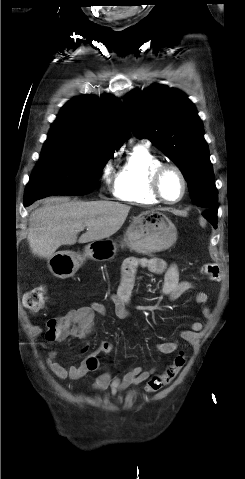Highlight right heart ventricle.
Here are the masks:
<instances>
[{
    "label": "right heart ventricle",
    "instance_id": "obj_1",
    "mask_svg": "<svg viewBox=\"0 0 245 479\" xmlns=\"http://www.w3.org/2000/svg\"><path fill=\"white\" fill-rule=\"evenodd\" d=\"M160 164L162 160L147 144L134 146L115 176L114 196L127 202L157 204L159 199L151 190V176Z\"/></svg>",
    "mask_w": 245,
    "mask_h": 479
}]
</instances>
